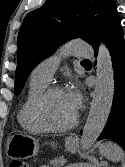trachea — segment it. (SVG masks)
Instances as JSON below:
<instances>
[{
    "mask_svg": "<svg viewBox=\"0 0 125 167\" xmlns=\"http://www.w3.org/2000/svg\"><path fill=\"white\" fill-rule=\"evenodd\" d=\"M82 62H90L89 60L85 59V60H82Z\"/></svg>",
    "mask_w": 125,
    "mask_h": 167,
    "instance_id": "3493384b",
    "label": "trachea"
}]
</instances>
